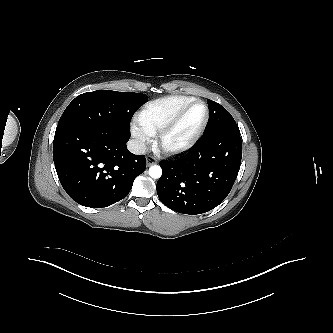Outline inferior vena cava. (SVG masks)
<instances>
[{
	"mask_svg": "<svg viewBox=\"0 0 333 333\" xmlns=\"http://www.w3.org/2000/svg\"><path fill=\"white\" fill-rule=\"evenodd\" d=\"M127 148L131 153L136 155H142L146 151L145 143L136 139L129 140Z\"/></svg>",
	"mask_w": 333,
	"mask_h": 333,
	"instance_id": "1",
	"label": "inferior vena cava"
}]
</instances>
